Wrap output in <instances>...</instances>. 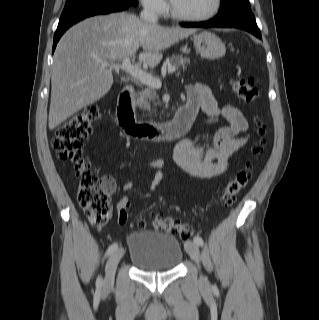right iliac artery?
Wrapping results in <instances>:
<instances>
[{"instance_id": "1", "label": "right iliac artery", "mask_w": 319, "mask_h": 320, "mask_svg": "<svg viewBox=\"0 0 319 320\" xmlns=\"http://www.w3.org/2000/svg\"><path fill=\"white\" fill-rule=\"evenodd\" d=\"M117 248H118V244H117V243L111 244V245L109 246V248L107 249L106 255L108 256V255L112 254ZM96 285H97V287H101V285H102V278H101V276H99V277L97 278Z\"/></svg>"}]
</instances>
